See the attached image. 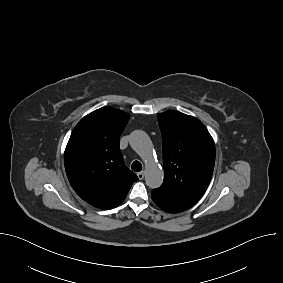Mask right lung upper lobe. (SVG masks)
<instances>
[{
    "label": "right lung upper lobe",
    "mask_w": 283,
    "mask_h": 283,
    "mask_svg": "<svg viewBox=\"0 0 283 283\" xmlns=\"http://www.w3.org/2000/svg\"><path fill=\"white\" fill-rule=\"evenodd\" d=\"M130 115L103 107L82 118L76 125L64 153L69 182L87 203L112 209L122 203L138 180L123 161L119 137Z\"/></svg>",
    "instance_id": "cb5924a9"
}]
</instances>
